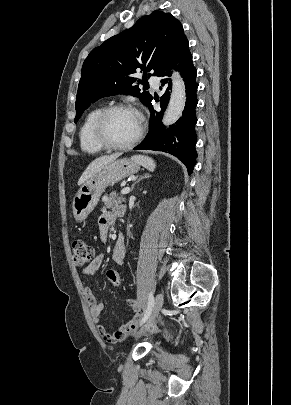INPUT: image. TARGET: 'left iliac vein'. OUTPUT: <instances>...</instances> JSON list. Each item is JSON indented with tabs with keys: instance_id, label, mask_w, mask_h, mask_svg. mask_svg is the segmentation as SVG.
Listing matches in <instances>:
<instances>
[{
	"instance_id": "4c4485c4",
	"label": "left iliac vein",
	"mask_w": 291,
	"mask_h": 405,
	"mask_svg": "<svg viewBox=\"0 0 291 405\" xmlns=\"http://www.w3.org/2000/svg\"><path fill=\"white\" fill-rule=\"evenodd\" d=\"M163 302H164V297L162 293H158L155 297V301H154V305H153V311L152 314L150 316V319L147 323V325L145 327H143L136 335V338H140L141 336H143L146 331H147V327L152 324L154 322V320L156 319V317L158 316L162 306H163Z\"/></svg>"
}]
</instances>
